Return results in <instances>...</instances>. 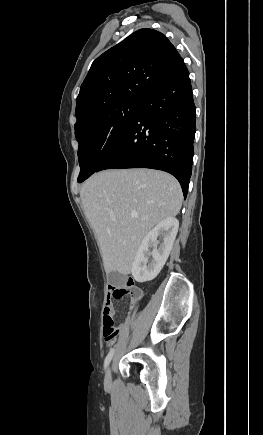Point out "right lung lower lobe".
I'll return each instance as SVG.
<instances>
[{
	"mask_svg": "<svg viewBox=\"0 0 263 435\" xmlns=\"http://www.w3.org/2000/svg\"><path fill=\"white\" fill-rule=\"evenodd\" d=\"M195 105L185 64L143 100L129 127L96 170L151 168L177 178L186 198L196 131Z\"/></svg>",
	"mask_w": 263,
	"mask_h": 435,
	"instance_id": "98d812e1",
	"label": "right lung lower lobe"
}]
</instances>
